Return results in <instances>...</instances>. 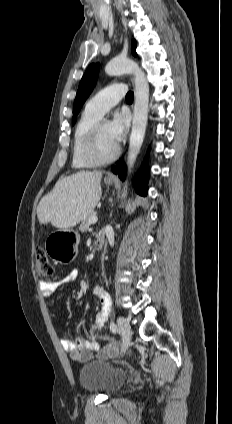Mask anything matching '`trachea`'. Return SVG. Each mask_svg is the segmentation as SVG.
<instances>
[{"instance_id": "trachea-1", "label": "trachea", "mask_w": 232, "mask_h": 424, "mask_svg": "<svg viewBox=\"0 0 232 424\" xmlns=\"http://www.w3.org/2000/svg\"><path fill=\"white\" fill-rule=\"evenodd\" d=\"M133 97H134L133 92H132V91H129V92L127 93V95H126V101H128V102H132V101H133Z\"/></svg>"}]
</instances>
